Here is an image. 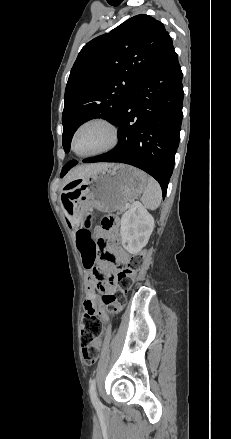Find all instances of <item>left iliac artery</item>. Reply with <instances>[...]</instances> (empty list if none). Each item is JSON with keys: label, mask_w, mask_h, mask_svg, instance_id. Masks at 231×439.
<instances>
[{"label": "left iliac artery", "mask_w": 231, "mask_h": 439, "mask_svg": "<svg viewBox=\"0 0 231 439\" xmlns=\"http://www.w3.org/2000/svg\"><path fill=\"white\" fill-rule=\"evenodd\" d=\"M89 395H90V399H91V402L94 405V407L96 409L102 408V403L99 401V399L97 397L96 379L95 378L90 381Z\"/></svg>", "instance_id": "1"}]
</instances>
